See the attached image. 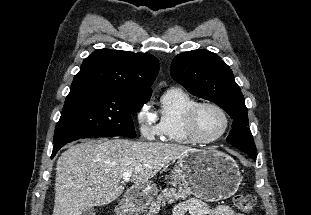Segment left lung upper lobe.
Segmentation results:
<instances>
[{
  "instance_id": "obj_1",
  "label": "left lung upper lobe",
  "mask_w": 311,
  "mask_h": 215,
  "mask_svg": "<svg viewBox=\"0 0 311 215\" xmlns=\"http://www.w3.org/2000/svg\"><path fill=\"white\" fill-rule=\"evenodd\" d=\"M171 75L191 94L214 102L233 119L226 141L249 156L256 155L253 136L248 127L244 96L234 80L232 70L221 58L207 50H193L177 55Z\"/></svg>"
}]
</instances>
